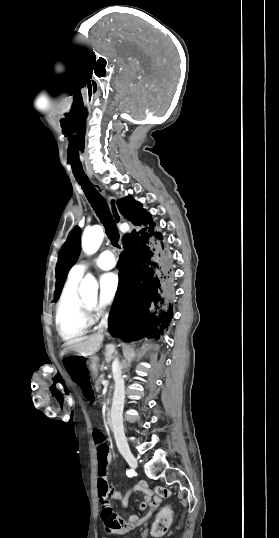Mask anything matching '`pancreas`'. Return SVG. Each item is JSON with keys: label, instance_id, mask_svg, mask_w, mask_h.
<instances>
[{"label": "pancreas", "instance_id": "pancreas-1", "mask_svg": "<svg viewBox=\"0 0 279 538\" xmlns=\"http://www.w3.org/2000/svg\"><path fill=\"white\" fill-rule=\"evenodd\" d=\"M91 360H93V358H91ZM97 362H98V358H96ZM104 380V376H100V378H97V380H95V388H96V392H100L101 390V382H103ZM112 388V386H111ZM108 396H111V390L108 394Z\"/></svg>", "mask_w": 279, "mask_h": 538}]
</instances>
